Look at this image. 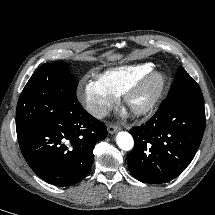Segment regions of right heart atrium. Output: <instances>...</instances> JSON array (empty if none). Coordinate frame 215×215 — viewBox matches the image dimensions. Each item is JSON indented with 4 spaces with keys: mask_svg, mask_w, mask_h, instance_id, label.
<instances>
[{
    "mask_svg": "<svg viewBox=\"0 0 215 215\" xmlns=\"http://www.w3.org/2000/svg\"><path fill=\"white\" fill-rule=\"evenodd\" d=\"M77 96L88 113L97 119L103 118L117 99L97 77L83 79L79 84Z\"/></svg>",
    "mask_w": 215,
    "mask_h": 215,
    "instance_id": "1",
    "label": "right heart atrium"
}]
</instances>
